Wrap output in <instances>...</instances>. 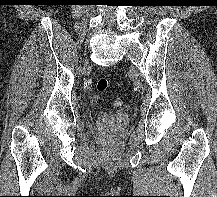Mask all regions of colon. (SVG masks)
<instances>
[{
    "label": "colon",
    "instance_id": "5ec220e1",
    "mask_svg": "<svg viewBox=\"0 0 217 197\" xmlns=\"http://www.w3.org/2000/svg\"><path fill=\"white\" fill-rule=\"evenodd\" d=\"M108 79L106 77H100L96 82V89L99 92H104L108 88ZM111 104L114 107H120L122 106V100L119 97H115L111 100Z\"/></svg>",
    "mask_w": 217,
    "mask_h": 197
}]
</instances>
